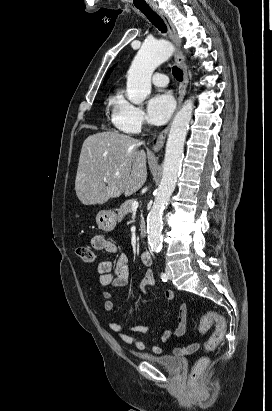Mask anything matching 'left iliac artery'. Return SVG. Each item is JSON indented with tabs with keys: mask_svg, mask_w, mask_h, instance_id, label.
Returning <instances> with one entry per match:
<instances>
[{
	"mask_svg": "<svg viewBox=\"0 0 272 411\" xmlns=\"http://www.w3.org/2000/svg\"><path fill=\"white\" fill-rule=\"evenodd\" d=\"M161 279H162L163 282H166L167 279H168L167 274L166 273H161Z\"/></svg>",
	"mask_w": 272,
	"mask_h": 411,
	"instance_id": "left-iliac-artery-1",
	"label": "left iliac artery"
}]
</instances>
